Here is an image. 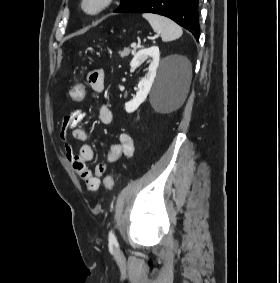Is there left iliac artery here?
<instances>
[{
	"mask_svg": "<svg viewBox=\"0 0 280 283\" xmlns=\"http://www.w3.org/2000/svg\"><path fill=\"white\" fill-rule=\"evenodd\" d=\"M108 238H109V242H110V243H113V244H114V243L117 242L116 237H115V235H114V233H113L112 230L109 232Z\"/></svg>",
	"mask_w": 280,
	"mask_h": 283,
	"instance_id": "44dca946",
	"label": "left iliac artery"
}]
</instances>
